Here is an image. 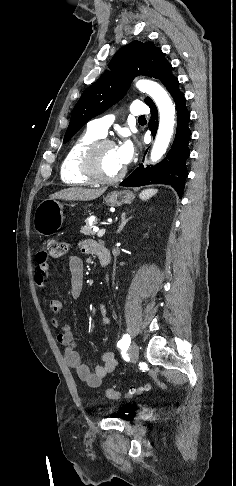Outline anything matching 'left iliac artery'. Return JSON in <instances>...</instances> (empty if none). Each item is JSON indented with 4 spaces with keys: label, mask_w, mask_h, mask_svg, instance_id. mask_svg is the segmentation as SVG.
<instances>
[{
    "label": "left iliac artery",
    "mask_w": 236,
    "mask_h": 486,
    "mask_svg": "<svg viewBox=\"0 0 236 486\" xmlns=\"http://www.w3.org/2000/svg\"><path fill=\"white\" fill-rule=\"evenodd\" d=\"M130 343H131V338L129 334H124L122 339L117 343V346L119 348H125V347H129Z\"/></svg>",
    "instance_id": "obj_1"
}]
</instances>
